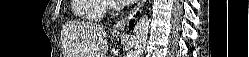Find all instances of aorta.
I'll return each instance as SVG.
<instances>
[{
    "label": "aorta",
    "instance_id": "aorta-1",
    "mask_svg": "<svg viewBox=\"0 0 249 57\" xmlns=\"http://www.w3.org/2000/svg\"><path fill=\"white\" fill-rule=\"evenodd\" d=\"M149 22L148 15H143L135 24L129 42L127 57H141L143 54L144 46L148 38Z\"/></svg>",
    "mask_w": 249,
    "mask_h": 57
}]
</instances>
